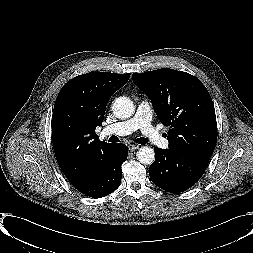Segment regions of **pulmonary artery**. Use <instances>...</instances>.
Here are the masks:
<instances>
[{"label":"pulmonary artery","mask_w":253,"mask_h":253,"mask_svg":"<svg viewBox=\"0 0 253 253\" xmlns=\"http://www.w3.org/2000/svg\"><path fill=\"white\" fill-rule=\"evenodd\" d=\"M138 129L151 144L162 149L170 147V141L164 138L151 122V107L147 100L139 103L132 118L108 126L104 130V134L127 135Z\"/></svg>","instance_id":"1"}]
</instances>
